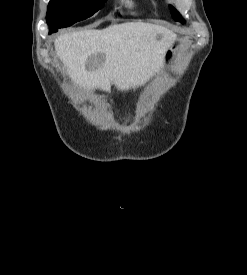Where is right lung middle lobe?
<instances>
[{
    "mask_svg": "<svg viewBox=\"0 0 247 275\" xmlns=\"http://www.w3.org/2000/svg\"><path fill=\"white\" fill-rule=\"evenodd\" d=\"M105 2L106 0H51L46 15L50 26L49 34L92 16Z\"/></svg>",
    "mask_w": 247,
    "mask_h": 275,
    "instance_id": "dd1d6c3e",
    "label": "right lung middle lobe"
}]
</instances>
